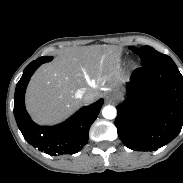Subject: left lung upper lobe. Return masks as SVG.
Listing matches in <instances>:
<instances>
[{
	"label": "left lung upper lobe",
	"instance_id": "obj_1",
	"mask_svg": "<svg viewBox=\"0 0 183 183\" xmlns=\"http://www.w3.org/2000/svg\"><path fill=\"white\" fill-rule=\"evenodd\" d=\"M134 53L139 55L142 62V67H152L160 65L167 62H172L173 60L150 46H144L142 48L129 47Z\"/></svg>",
	"mask_w": 183,
	"mask_h": 183
}]
</instances>
